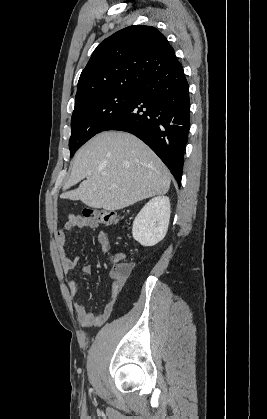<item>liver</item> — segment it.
I'll list each match as a JSON object with an SVG mask.
<instances>
[{"label":"liver","instance_id":"liver-1","mask_svg":"<svg viewBox=\"0 0 267 419\" xmlns=\"http://www.w3.org/2000/svg\"><path fill=\"white\" fill-rule=\"evenodd\" d=\"M79 182L77 189L67 191ZM170 182L167 167L140 139L126 132H102L75 155L60 197L113 211L166 194Z\"/></svg>","mask_w":267,"mask_h":419}]
</instances>
